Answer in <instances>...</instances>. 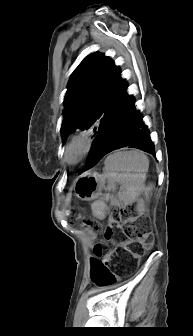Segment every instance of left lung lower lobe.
I'll return each instance as SVG.
<instances>
[{
    "label": "left lung lower lobe",
    "mask_w": 193,
    "mask_h": 336,
    "mask_svg": "<svg viewBox=\"0 0 193 336\" xmlns=\"http://www.w3.org/2000/svg\"><path fill=\"white\" fill-rule=\"evenodd\" d=\"M134 103L133 97L127 94L125 83L117 102L98 127L88 162L81 172L95 166L106 154L122 147L138 148L155 156L149 131Z\"/></svg>",
    "instance_id": "1"
}]
</instances>
